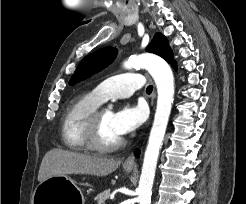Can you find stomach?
Returning a JSON list of instances; mask_svg holds the SVG:
<instances>
[{"instance_id":"obj_1","label":"stomach","mask_w":246,"mask_h":204,"mask_svg":"<svg viewBox=\"0 0 246 204\" xmlns=\"http://www.w3.org/2000/svg\"><path fill=\"white\" fill-rule=\"evenodd\" d=\"M125 171L131 172L132 168H125ZM32 204H84V197L72 178L53 176L39 183Z\"/></svg>"}]
</instances>
